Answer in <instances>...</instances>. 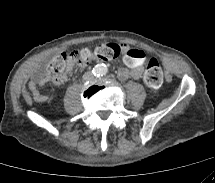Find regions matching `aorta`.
I'll return each mask as SVG.
<instances>
[{
  "label": "aorta",
  "instance_id": "1",
  "mask_svg": "<svg viewBox=\"0 0 215 183\" xmlns=\"http://www.w3.org/2000/svg\"><path fill=\"white\" fill-rule=\"evenodd\" d=\"M93 72L97 76H103V75L107 74L108 69H107V66L105 64H97L94 67Z\"/></svg>",
  "mask_w": 215,
  "mask_h": 183
}]
</instances>
